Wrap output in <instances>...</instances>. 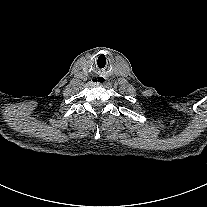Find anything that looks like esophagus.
Instances as JSON below:
<instances>
[{
    "mask_svg": "<svg viewBox=\"0 0 207 207\" xmlns=\"http://www.w3.org/2000/svg\"><path fill=\"white\" fill-rule=\"evenodd\" d=\"M95 84L97 86H104L106 84V77L104 75H97L95 77Z\"/></svg>",
    "mask_w": 207,
    "mask_h": 207,
    "instance_id": "34e87169",
    "label": "esophagus"
}]
</instances>
